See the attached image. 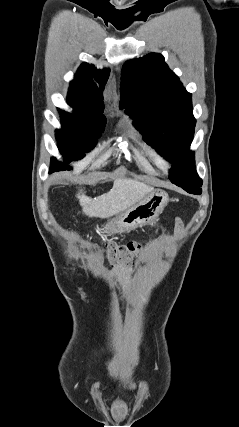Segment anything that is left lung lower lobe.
I'll return each mask as SVG.
<instances>
[{"mask_svg":"<svg viewBox=\"0 0 239 427\" xmlns=\"http://www.w3.org/2000/svg\"><path fill=\"white\" fill-rule=\"evenodd\" d=\"M200 187L201 186H194L191 188H187V187H181V188H183L188 193L200 195L202 193V189Z\"/></svg>","mask_w":239,"mask_h":427,"instance_id":"0a47b994","label":"left lung lower lobe"}]
</instances>
